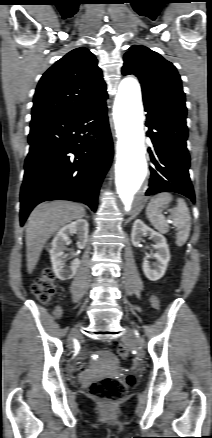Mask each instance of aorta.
Returning <instances> with one entry per match:
<instances>
[{
	"label": "aorta",
	"instance_id": "aorta-1",
	"mask_svg": "<svg viewBox=\"0 0 212 438\" xmlns=\"http://www.w3.org/2000/svg\"><path fill=\"white\" fill-rule=\"evenodd\" d=\"M113 117L118 137L115 182L118 195L129 211L147 175L144 148L141 89L134 78L121 81Z\"/></svg>",
	"mask_w": 212,
	"mask_h": 438
}]
</instances>
